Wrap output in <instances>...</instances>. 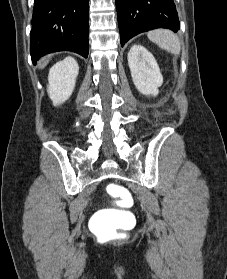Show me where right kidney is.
<instances>
[{"instance_id": "right-kidney-1", "label": "right kidney", "mask_w": 227, "mask_h": 279, "mask_svg": "<svg viewBox=\"0 0 227 279\" xmlns=\"http://www.w3.org/2000/svg\"><path fill=\"white\" fill-rule=\"evenodd\" d=\"M78 72L79 66L73 57H66L50 69L47 92L55 106L69 99L74 90Z\"/></svg>"}]
</instances>
